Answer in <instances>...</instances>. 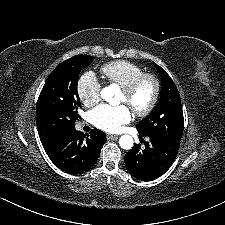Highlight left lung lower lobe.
<instances>
[{
	"label": "left lung lower lobe",
	"instance_id": "left-lung-lower-lobe-1",
	"mask_svg": "<svg viewBox=\"0 0 225 225\" xmlns=\"http://www.w3.org/2000/svg\"><path fill=\"white\" fill-rule=\"evenodd\" d=\"M150 142L134 147L125 155L127 170L141 181H152L167 172L176 159L180 141L169 135H145Z\"/></svg>",
	"mask_w": 225,
	"mask_h": 225
}]
</instances>
